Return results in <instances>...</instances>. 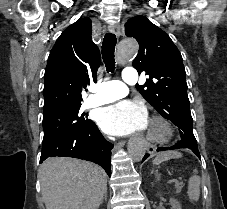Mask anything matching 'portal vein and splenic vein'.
Here are the masks:
<instances>
[{
  "label": "portal vein and splenic vein",
  "mask_w": 227,
  "mask_h": 209,
  "mask_svg": "<svg viewBox=\"0 0 227 209\" xmlns=\"http://www.w3.org/2000/svg\"><path fill=\"white\" fill-rule=\"evenodd\" d=\"M176 186L174 187V191L177 192L179 195L182 193V185L184 184L182 181H177L176 183Z\"/></svg>",
  "instance_id": "obj_1"
}]
</instances>
